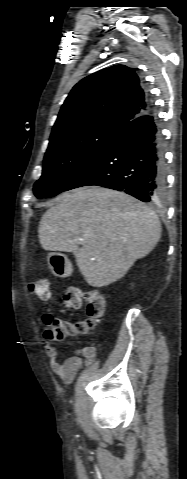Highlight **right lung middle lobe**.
Returning <instances> with one entry per match:
<instances>
[{
  "mask_svg": "<svg viewBox=\"0 0 187 479\" xmlns=\"http://www.w3.org/2000/svg\"><path fill=\"white\" fill-rule=\"evenodd\" d=\"M122 130L98 124L72 129L50 139L41 178L34 185L37 198L53 197L117 138Z\"/></svg>",
  "mask_w": 187,
  "mask_h": 479,
  "instance_id": "1",
  "label": "right lung middle lobe"
}]
</instances>
